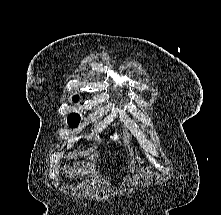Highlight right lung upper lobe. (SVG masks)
I'll use <instances>...</instances> for the list:
<instances>
[{
    "mask_svg": "<svg viewBox=\"0 0 221 215\" xmlns=\"http://www.w3.org/2000/svg\"><path fill=\"white\" fill-rule=\"evenodd\" d=\"M73 100H74V102H77L78 101V97L74 96Z\"/></svg>",
    "mask_w": 221,
    "mask_h": 215,
    "instance_id": "right-lung-upper-lobe-1",
    "label": "right lung upper lobe"
}]
</instances>
